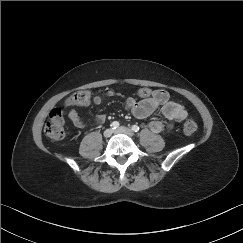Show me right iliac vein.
<instances>
[{"instance_id": "right-iliac-vein-1", "label": "right iliac vein", "mask_w": 243, "mask_h": 243, "mask_svg": "<svg viewBox=\"0 0 243 243\" xmlns=\"http://www.w3.org/2000/svg\"><path fill=\"white\" fill-rule=\"evenodd\" d=\"M113 134V130L112 129H106L105 131H104V136L106 137V138H108V137H110L111 135Z\"/></svg>"}]
</instances>
